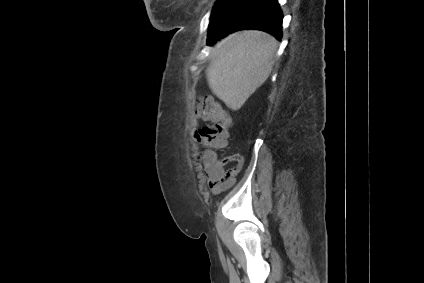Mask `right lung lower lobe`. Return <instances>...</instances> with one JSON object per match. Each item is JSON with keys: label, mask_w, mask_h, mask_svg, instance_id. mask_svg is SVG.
I'll return each instance as SVG.
<instances>
[{"label": "right lung lower lobe", "mask_w": 424, "mask_h": 283, "mask_svg": "<svg viewBox=\"0 0 424 283\" xmlns=\"http://www.w3.org/2000/svg\"><path fill=\"white\" fill-rule=\"evenodd\" d=\"M282 11L277 0H228L210 22L208 44L229 33L255 29L282 37Z\"/></svg>", "instance_id": "right-lung-lower-lobe-1"}]
</instances>
